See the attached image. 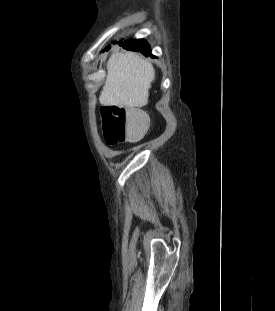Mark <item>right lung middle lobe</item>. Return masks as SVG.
Masks as SVG:
<instances>
[{
    "instance_id": "right-lung-middle-lobe-1",
    "label": "right lung middle lobe",
    "mask_w": 275,
    "mask_h": 311,
    "mask_svg": "<svg viewBox=\"0 0 275 311\" xmlns=\"http://www.w3.org/2000/svg\"><path fill=\"white\" fill-rule=\"evenodd\" d=\"M121 43V42H120ZM110 47H107L106 50H108Z\"/></svg>"
}]
</instances>
